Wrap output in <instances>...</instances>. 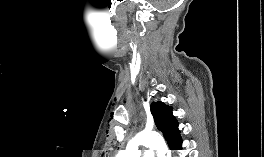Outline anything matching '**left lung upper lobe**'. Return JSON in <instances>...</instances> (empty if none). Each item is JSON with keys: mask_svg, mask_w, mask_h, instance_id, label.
Wrapping results in <instances>:
<instances>
[{"mask_svg": "<svg viewBox=\"0 0 264 157\" xmlns=\"http://www.w3.org/2000/svg\"><path fill=\"white\" fill-rule=\"evenodd\" d=\"M150 110L157 128L163 133L170 149H172L181 142L178 123L172 115V107L158 101L151 104Z\"/></svg>", "mask_w": 264, "mask_h": 157, "instance_id": "1", "label": "left lung upper lobe"}]
</instances>
